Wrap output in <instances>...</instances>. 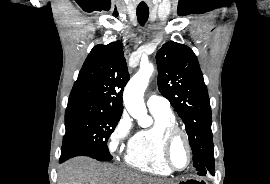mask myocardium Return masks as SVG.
<instances>
[{
    "label": "myocardium",
    "instance_id": "f54148a6",
    "mask_svg": "<svg viewBox=\"0 0 270 184\" xmlns=\"http://www.w3.org/2000/svg\"><path fill=\"white\" fill-rule=\"evenodd\" d=\"M179 136L183 138L188 152V162L183 168L175 167L170 160V150L172 143ZM161 154L163 163L172 172H182L190 167L193 159V150L190 139L188 137V134L177 124H170L163 128L161 138Z\"/></svg>",
    "mask_w": 270,
    "mask_h": 184
}]
</instances>
